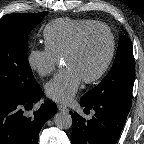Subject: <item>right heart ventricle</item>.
I'll list each match as a JSON object with an SVG mask.
<instances>
[{"mask_svg":"<svg viewBox=\"0 0 144 144\" xmlns=\"http://www.w3.org/2000/svg\"><path fill=\"white\" fill-rule=\"evenodd\" d=\"M98 23L92 19L59 18L48 23L43 30L45 46L62 57L76 35L85 27Z\"/></svg>","mask_w":144,"mask_h":144,"instance_id":"obj_1","label":"right heart ventricle"}]
</instances>
